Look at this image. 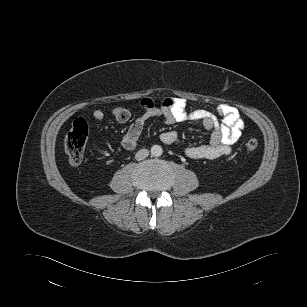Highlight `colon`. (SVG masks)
I'll return each mask as SVG.
<instances>
[{"mask_svg":"<svg viewBox=\"0 0 307 307\" xmlns=\"http://www.w3.org/2000/svg\"><path fill=\"white\" fill-rule=\"evenodd\" d=\"M88 137V126L85 120L77 119L74 121L72 128L68 132L64 140L65 152L68 155L69 161L73 165H78L82 162L84 151ZM258 142L255 138H249L245 142L247 151L256 150Z\"/></svg>","mask_w":307,"mask_h":307,"instance_id":"obj_1","label":"colon"}]
</instances>
